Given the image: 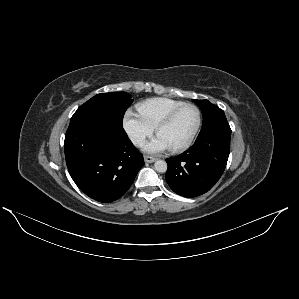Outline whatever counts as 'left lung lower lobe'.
<instances>
[{"label": "left lung lower lobe", "mask_w": 299, "mask_h": 299, "mask_svg": "<svg viewBox=\"0 0 299 299\" xmlns=\"http://www.w3.org/2000/svg\"><path fill=\"white\" fill-rule=\"evenodd\" d=\"M231 128L218 124L200 132L193 146L184 153L167 158L166 181L184 197L209 191L221 177L230 152Z\"/></svg>", "instance_id": "0a47b994"}]
</instances>
